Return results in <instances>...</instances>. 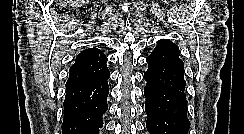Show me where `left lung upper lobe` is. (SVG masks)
<instances>
[{"mask_svg": "<svg viewBox=\"0 0 244 134\" xmlns=\"http://www.w3.org/2000/svg\"><path fill=\"white\" fill-rule=\"evenodd\" d=\"M180 51L176 44L161 39L147 57L148 70L159 84L164 87H185L184 64L179 58Z\"/></svg>", "mask_w": 244, "mask_h": 134, "instance_id": "5c2ea615", "label": "left lung upper lobe"}]
</instances>
